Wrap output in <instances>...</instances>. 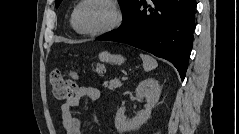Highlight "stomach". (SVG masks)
Instances as JSON below:
<instances>
[{
    "label": "stomach",
    "mask_w": 239,
    "mask_h": 134,
    "mask_svg": "<svg viewBox=\"0 0 239 134\" xmlns=\"http://www.w3.org/2000/svg\"><path fill=\"white\" fill-rule=\"evenodd\" d=\"M99 59L101 62H108L112 64L121 65L124 63L125 59L121 55H114L109 53L108 51H103L99 54Z\"/></svg>",
    "instance_id": "stomach-1"
}]
</instances>
